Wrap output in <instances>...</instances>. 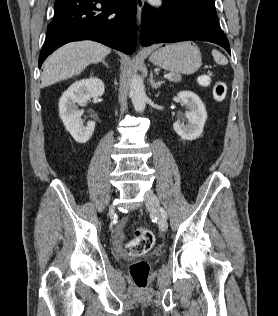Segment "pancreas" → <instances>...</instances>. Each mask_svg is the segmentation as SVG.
<instances>
[{"label":"pancreas","mask_w":278,"mask_h":316,"mask_svg":"<svg viewBox=\"0 0 278 316\" xmlns=\"http://www.w3.org/2000/svg\"><path fill=\"white\" fill-rule=\"evenodd\" d=\"M172 78L170 79L171 82H180L181 81V75L178 73L172 74Z\"/></svg>","instance_id":"cf45deb5"}]
</instances>
